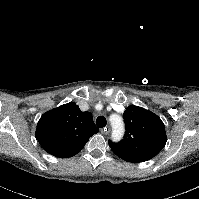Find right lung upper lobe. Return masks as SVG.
I'll return each instance as SVG.
<instances>
[{"instance_id": "1", "label": "right lung upper lobe", "mask_w": 199, "mask_h": 199, "mask_svg": "<svg viewBox=\"0 0 199 199\" xmlns=\"http://www.w3.org/2000/svg\"><path fill=\"white\" fill-rule=\"evenodd\" d=\"M90 112L67 103L44 113L36 129V139L49 154L69 158L79 153L89 138L98 133Z\"/></svg>"}]
</instances>
